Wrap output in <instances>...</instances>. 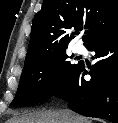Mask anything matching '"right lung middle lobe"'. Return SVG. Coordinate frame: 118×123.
I'll return each instance as SVG.
<instances>
[{
  "mask_svg": "<svg viewBox=\"0 0 118 123\" xmlns=\"http://www.w3.org/2000/svg\"><path fill=\"white\" fill-rule=\"evenodd\" d=\"M66 49L41 56L24 66L12 106L49 99L64 86L78 69L71 64Z\"/></svg>",
  "mask_w": 118,
  "mask_h": 123,
  "instance_id": "dd1d6c3e",
  "label": "right lung middle lobe"
}]
</instances>
